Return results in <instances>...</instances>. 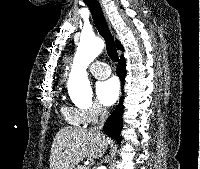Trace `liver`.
<instances>
[{"instance_id": "6515ba94", "label": "liver", "mask_w": 200, "mask_h": 169, "mask_svg": "<svg viewBox=\"0 0 200 169\" xmlns=\"http://www.w3.org/2000/svg\"><path fill=\"white\" fill-rule=\"evenodd\" d=\"M108 138L87 129L65 127L56 134L50 152V169H75L83 159L103 155Z\"/></svg>"}]
</instances>
